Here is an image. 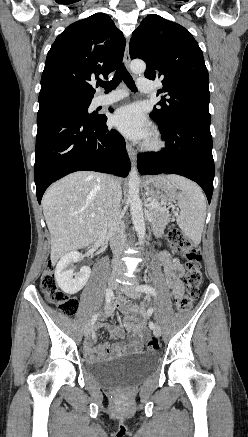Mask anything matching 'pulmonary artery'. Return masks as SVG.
Wrapping results in <instances>:
<instances>
[{
  "label": "pulmonary artery",
  "instance_id": "e3ab8cb5",
  "mask_svg": "<svg viewBox=\"0 0 248 437\" xmlns=\"http://www.w3.org/2000/svg\"><path fill=\"white\" fill-rule=\"evenodd\" d=\"M138 89L141 92H150L153 90V82L145 77H140L137 80ZM127 93L125 91L119 90L111 92L107 95L100 96L97 99L99 105H107L116 101H119L126 97Z\"/></svg>",
  "mask_w": 248,
  "mask_h": 437
}]
</instances>
